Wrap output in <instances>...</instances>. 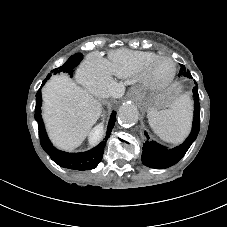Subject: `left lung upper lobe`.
I'll list each match as a JSON object with an SVG mask.
<instances>
[{"instance_id": "left-lung-upper-lobe-1", "label": "left lung upper lobe", "mask_w": 227, "mask_h": 227, "mask_svg": "<svg viewBox=\"0 0 227 227\" xmlns=\"http://www.w3.org/2000/svg\"><path fill=\"white\" fill-rule=\"evenodd\" d=\"M179 76H184V77H189L190 78L191 74H190L189 70H187L183 65H181Z\"/></svg>"}]
</instances>
